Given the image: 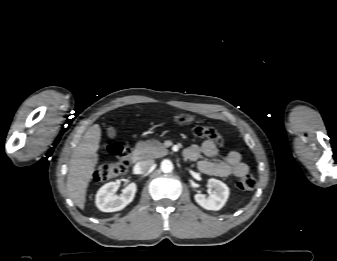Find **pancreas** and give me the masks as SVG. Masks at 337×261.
I'll return each mask as SVG.
<instances>
[{"instance_id": "1", "label": "pancreas", "mask_w": 337, "mask_h": 261, "mask_svg": "<svg viewBox=\"0 0 337 261\" xmlns=\"http://www.w3.org/2000/svg\"><path fill=\"white\" fill-rule=\"evenodd\" d=\"M137 148L141 151L142 156L146 158H159L168 154L166 147L158 140L139 142Z\"/></svg>"}]
</instances>
